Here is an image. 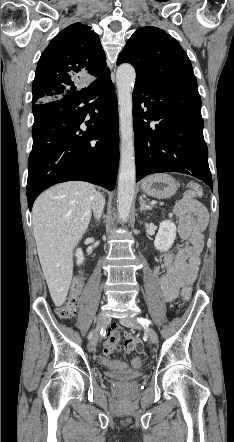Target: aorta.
Listing matches in <instances>:
<instances>
[{"label":"aorta","instance_id":"1","mask_svg":"<svg viewBox=\"0 0 234 442\" xmlns=\"http://www.w3.org/2000/svg\"><path fill=\"white\" fill-rule=\"evenodd\" d=\"M136 80V72L132 65H120L116 73L118 89L119 120L121 132L120 171L118 178V215L123 221L129 217L134 197L136 165L133 132L132 90Z\"/></svg>","mask_w":234,"mask_h":442}]
</instances>
